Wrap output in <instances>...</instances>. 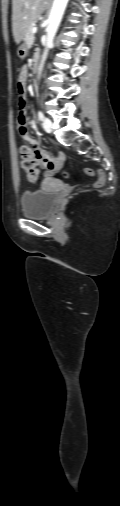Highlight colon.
Instances as JSON below:
<instances>
[{"mask_svg": "<svg viewBox=\"0 0 120 506\" xmlns=\"http://www.w3.org/2000/svg\"><path fill=\"white\" fill-rule=\"evenodd\" d=\"M19 97H18V127L20 134H25L26 129V116H25V107H26V98L24 95V86L21 81L18 82L17 85ZM19 153L21 155L22 161L21 165L23 170L26 172V175L30 181H35L38 178V163L41 157L40 151H38L32 144L29 142L21 145L19 149ZM82 174L85 177H92L93 171L89 168H84L82 170ZM97 181L95 186L97 188L103 187L106 182V175L103 170H99L97 172Z\"/></svg>", "mask_w": 120, "mask_h": 506, "instance_id": "5ec220e1", "label": "colon"}]
</instances>
